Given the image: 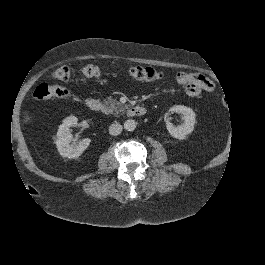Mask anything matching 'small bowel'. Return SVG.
<instances>
[{
	"label": "small bowel",
	"mask_w": 265,
	"mask_h": 265,
	"mask_svg": "<svg viewBox=\"0 0 265 265\" xmlns=\"http://www.w3.org/2000/svg\"><path fill=\"white\" fill-rule=\"evenodd\" d=\"M176 81L184 86L186 94L191 97L214 88L213 82L201 74L180 72L176 75Z\"/></svg>",
	"instance_id": "small-bowel-1"
}]
</instances>
